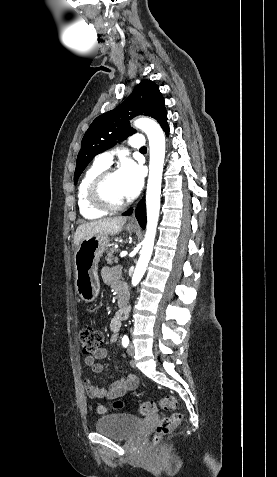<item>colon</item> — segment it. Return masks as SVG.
Masks as SVG:
<instances>
[{
	"instance_id": "obj_1",
	"label": "colon",
	"mask_w": 277,
	"mask_h": 477,
	"mask_svg": "<svg viewBox=\"0 0 277 477\" xmlns=\"http://www.w3.org/2000/svg\"><path fill=\"white\" fill-rule=\"evenodd\" d=\"M80 342L82 345V351L86 356L93 355L98 349L103 340L101 331L93 327L90 324L82 326L79 332ZM123 403L116 401L114 403L115 408H121ZM160 406L171 412L169 416L162 418L157 424L154 432V441L159 442L164 436L169 434L175 427H177L182 421V414L177 411L178 402L174 396L168 395L160 400ZM156 409V404L152 401L143 402L139 406V412L142 415L152 414ZM107 410L104 407L99 408V413L104 414Z\"/></svg>"
}]
</instances>
